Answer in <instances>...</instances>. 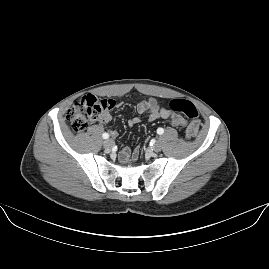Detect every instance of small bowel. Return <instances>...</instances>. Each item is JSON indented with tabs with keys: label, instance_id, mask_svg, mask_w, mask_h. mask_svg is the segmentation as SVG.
Masks as SVG:
<instances>
[{
	"label": "small bowel",
	"instance_id": "c3829d8e",
	"mask_svg": "<svg viewBox=\"0 0 269 269\" xmlns=\"http://www.w3.org/2000/svg\"><path fill=\"white\" fill-rule=\"evenodd\" d=\"M137 111L140 114H146L149 121H154L157 119H162L169 121L174 127H181L185 124L183 117L179 115L172 114L168 109L159 105L156 99L149 98L147 100L141 101L137 106ZM113 120V116L109 111H105L99 119V125L106 127ZM141 122L139 117H131L128 120L130 126L137 125ZM112 135H116V131H111ZM142 151L141 145L135 146V152L131 155V150L128 147H124L119 154V159L121 163H125L126 169L134 168L137 165L138 155L137 152ZM131 155V156H130ZM130 157V161H128Z\"/></svg>",
	"mask_w": 269,
	"mask_h": 269
}]
</instances>
